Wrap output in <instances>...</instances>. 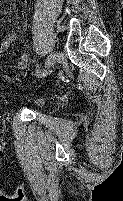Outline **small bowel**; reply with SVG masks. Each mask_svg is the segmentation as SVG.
Instances as JSON below:
<instances>
[{"label": "small bowel", "instance_id": "c3829d8e", "mask_svg": "<svg viewBox=\"0 0 123 201\" xmlns=\"http://www.w3.org/2000/svg\"><path fill=\"white\" fill-rule=\"evenodd\" d=\"M16 39V34L14 32L8 33L3 41L0 43V55L3 54L10 46V44ZM28 56L26 53L21 54L17 62H11L9 64L0 66L2 70H11V69H23L27 66Z\"/></svg>", "mask_w": 123, "mask_h": 201}]
</instances>
